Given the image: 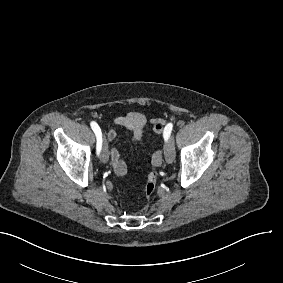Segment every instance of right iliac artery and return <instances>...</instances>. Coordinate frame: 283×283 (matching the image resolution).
Instances as JSON below:
<instances>
[{
  "mask_svg": "<svg viewBox=\"0 0 283 283\" xmlns=\"http://www.w3.org/2000/svg\"><path fill=\"white\" fill-rule=\"evenodd\" d=\"M91 125V128L92 130L94 131L96 137H97V146H96V149H97V154H99L100 150H101V145H102V134H101V129L100 127L98 126V124L94 121H92L90 123Z\"/></svg>",
  "mask_w": 283,
  "mask_h": 283,
  "instance_id": "obj_1",
  "label": "right iliac artery"
}]
</instances>
